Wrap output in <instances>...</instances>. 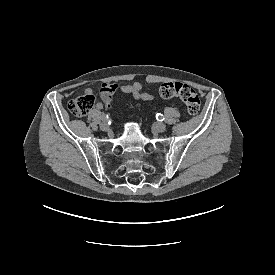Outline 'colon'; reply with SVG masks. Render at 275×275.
I'll use <instances>...</instances> for the list:
<instances>
[{
    "mask_svg": "<svg viewBox=\"0 0 275 275\" xmlns=\"http://www.w3.org/2000/svg\"><path fill=\"white\" fill-rule=\"evenodd\" d=\"M158 93L165 99L179 98L186 106L190 115H196L200 111V98L197 92L188 84L180 81L166 82L161 84ZM95 102V97L90 95L78 96L68 102L67 108L74 115L82 117L86 115ZM111 107V102L105 104Z\"/></svg>",
    "mask_w": 275,
    "mask_h": 275,
    "instance_id": "colon-1",
    "label": "colon"
}]
</instances>
